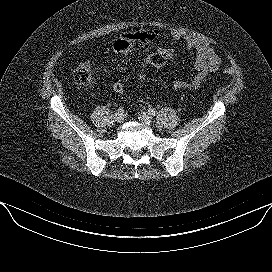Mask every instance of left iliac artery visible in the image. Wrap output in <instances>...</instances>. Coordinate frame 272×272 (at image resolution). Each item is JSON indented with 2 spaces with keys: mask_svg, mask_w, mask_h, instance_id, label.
<instances>
[{
  "mask_svg": "<svg viewBox=\"0 0 272 272\" xmlns=\"http://www.w3.org/2000/svg\"><path fill=\"white\" fill-rule=\"evenodd\" d=\"M149 113L151 114V115H155L156 114V110L154 109V108H149Z\"/></svg>",
  "mask_w": 272,
  "mask_h": 272,
  "instance_id": "obj_1",
  "label": "left iliac artery"
}]
</instances>
